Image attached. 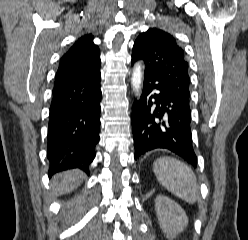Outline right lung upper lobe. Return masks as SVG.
Masks as SVG:
<instances>
[{
	"label": "right lung upper lobe",
	"instance_id": "right-lung-upper-lobe-1",
	"mask_svg": "<svg viewBox=\"0 0 248 240\" xmlns=\"http://www.w3.org/2000/svg\"><path fill=\"white\" fill-rule=\"evenodd\" d=\"M91 34L79 38L63 55L54 87L69 84L100 70V51Z\"/></svg>",
	"mask_w": 248,
	"mask_h": 240
}]
</instances>
